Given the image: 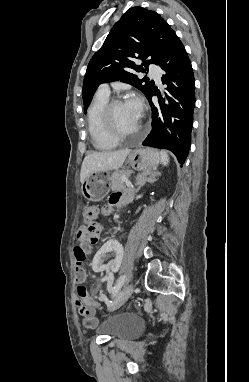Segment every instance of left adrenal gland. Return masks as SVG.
I'll return each instance as SVG.
<instances>
[{
    "mask_svg": "<svg viewBox=\"0 0 249 382\" xmlns=\"http://www.w3.org/2000/svg\"><path fill=\"white\" fill-rule=\"evenodd\" d=\"M161 173L158 171L142 173L137 176V188L136 193L145 185L146 182L153 183L156 181V177L160 176Z\"/></svg>",
    "mask_w": 249,
    "mask_h": 382,
    "instance_id": "left-adrenal-gland-1",
    "label": "left adrenal gland"
}]
</instances>
